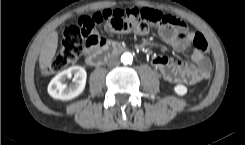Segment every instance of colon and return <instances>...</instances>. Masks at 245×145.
I'll return each mask as SVG.
<instances>
[{"instance_id":"obj_1","label":"colon","mask_w":245,"mask_h":145,"mask_svg":"<svg viewBox=\"0 0 245 145\" xmlns=\"http://www.w3.org/2000/svg\"><path fill=\"white\" fill-rule=\"evenodd\" d=\"M102 22H108L112 28L129 31L147 30L152 26L170 27L175 25L177 20L157 10L136 7L104 9L95 12L92 16H81L65 26L57 54L44 72L52 74L61 71L83 52L84 47L94 49L100 46V37L92 31V28ZM192 44L200 54L208 55L209 46L202 34H196ZM208 75V68H204L203 76L208 77Z\"/></svg>"}]
</instances>
